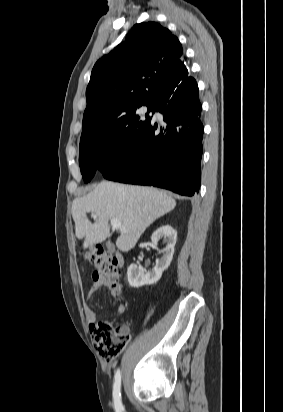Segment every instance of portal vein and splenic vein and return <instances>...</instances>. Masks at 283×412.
Listing matches in <instances>:
<instances>
[{
    "label": "portal vein and splenic vein",
    "mask_w": 283,
    "mask_h": 412,
    "mask_svg": "<svg viewBox=\"0 0 283 412\" xmlns=\"http://www.w3.org/2000/svg\"><path fill=\"white\" fill-rule=\"evenodd\" d=\"M93 216L95 217V214H94V213H93ZM110 223H111V226H112L113 228H115V229H119L120 231H124V230H125L124 227L122 226L121 222L118 221V220L115 219V218H112V219L110 220Z\"/></svg>",
    "instance_id": "18ae733b"
}]
</instances>
